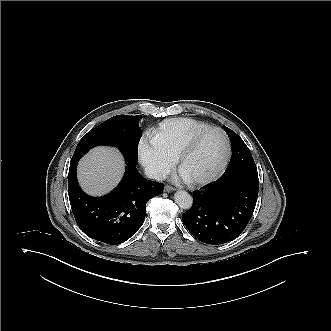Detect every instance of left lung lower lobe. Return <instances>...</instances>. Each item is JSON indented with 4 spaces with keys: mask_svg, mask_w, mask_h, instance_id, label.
I'll return each instance as SVG.
<instances>
[{
    "mask_svg": "<svg viewBox=\"0 0 331 331\" xmlns=\"http://www.w3.org/2000/svg\"><path fill=\"white\" fill-rule=\"evenodd\" d=\"M258 173L236 171L224 174L201 191L193 193L192 207L182 221L198 240L212 245L229 242L247 226L258 196Z\"/></svg>",
    "mask_w": 331,
    "mask_h": 331,
    "instance_id": "left-lung-lower-lobe-1",
    "label": "left lung lower lobe"
}]
</instances>
